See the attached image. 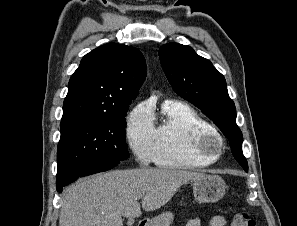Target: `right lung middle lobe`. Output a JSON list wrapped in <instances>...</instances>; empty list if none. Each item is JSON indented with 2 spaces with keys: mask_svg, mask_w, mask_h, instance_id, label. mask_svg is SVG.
Returning a JSON list of instances; mask_svg holds the SVG:
<instances>
[{
  "mask_svg": "<svg viewBox=\"0 0 297 226\" xmlns=\"http://www.w3.org/2000/svg\"><path fill=\"white\" fill-rule=\"evenodd\" d=\"M127 109L118 117H74L61 121L58 172L76 165L127 159Z\"/></svg>",
  "mask_w": 297,
  "mask_h": 226,
  "instance_id": "1",
  "label": "right lung middle lobe"
}]
</instances>
